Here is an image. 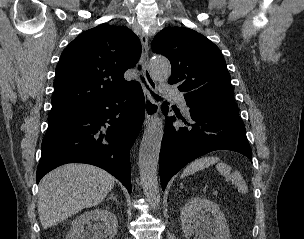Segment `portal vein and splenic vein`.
<instances>
[{
	"label": "portal vein and splenic vein",
	"mask_w": 304,
	"mask_h": 239,
	"mask_svg": "<svg viewBox=\"0 0 304 239\" xmlns=\"http://www.w3.org/2000/svg\"><path fill=\"white\" fill-rule=\"evenodd\" d=\"M218 192L216 190L213 191V195H217Z\"/></svg>",
	"instance_id": "18ae733b"
}]
</instances>
